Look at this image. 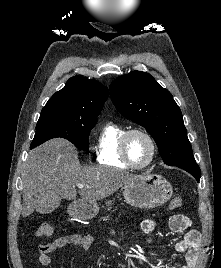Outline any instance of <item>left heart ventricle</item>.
<instances>
[{
	"mask_svg": "<svg viewBox=\"0 0 221 268\" xmlns=\"http://www.w3.org/2000/svg\"><path fill=\"white\" fill-rule=\"evenodd\" d=\"M127 151L130 160L136 165L146 163L151 154V145L148 139L142 134H133L127 144Z\"/></svg>",
	"mask_w": 221,
	"mask_h": 268,
	"instance_id": "1",
	"label": "left heart ventricle"
}]
</instances>
